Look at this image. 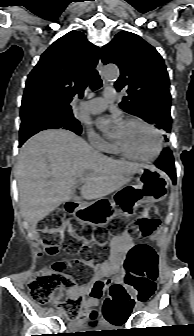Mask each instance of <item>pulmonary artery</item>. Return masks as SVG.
<instances>
[{"label": "pulmonary artery", "instance_id": "obj_1", "mask_svg": "<svg viewBox=\"0 0 194 336\" xmlns=\"http://www.w3.org/2000/svg\"><path fill=\"white\" fill-rule=\"evenodd\" d=\"M116 99V91L108 88L104 91L103 97H97L91 99L84 104V108L87 112L96 114L104 111L109 103H112Z\"/></svg>", "mask_w": 194, "mask_h": 336}]
</instances>
